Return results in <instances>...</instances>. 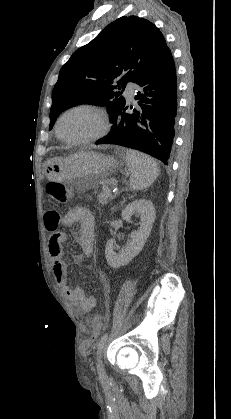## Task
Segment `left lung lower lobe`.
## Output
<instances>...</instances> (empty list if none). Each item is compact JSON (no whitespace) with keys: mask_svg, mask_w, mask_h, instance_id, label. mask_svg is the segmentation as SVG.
<instances>
[{"mask_svg":"<svg viewBox=\"0 0 231 419\" xmlns=\"http://www.w3.org/2000/svg\"><path fill=\"white\" fill-rule=\"evenodd\" d=\"M136 108L127 114L125 104L111 118L112 128L96 144H118L148 153L165 165L175 136L177 78L168 50L136 82Z\"/></svg>","mask_w":231,"mask_h":419,"instance_id":"obj_1","label":"left lung lower lobe"}]
</instances>
